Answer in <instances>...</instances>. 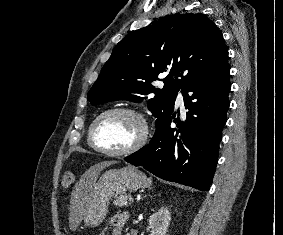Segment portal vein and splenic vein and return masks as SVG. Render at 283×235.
Returning <instances> with one entry per match:
<instances>
[{"instance_id":"obj_1","label":"portal vein and splenic vein","mask_w":283,"mask_h":235,"mask_svg":"<svg viewBox=\"0 0 283 235\" xmlns=\"http://www.w3.org/2000/svg\"><path fill=\"white\" fill-rule=\"evenodd\" d=\"M131 201H133V198L131 197V199H130Z\"/></svg>"}]
</instances>
